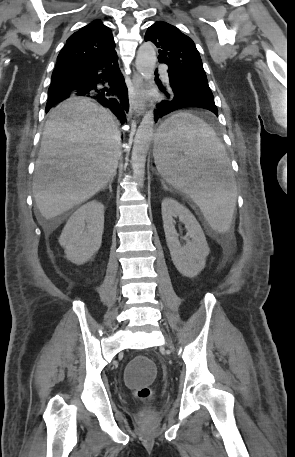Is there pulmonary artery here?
Returning <instances> with one entry per match:
<instances>
[{
  "label": "pulmonary artery",
  "instance_id": "e3ab8cb5",
  "mask_svg": "<svg viewBox=\"0 0 295 457\" xmlns=\"http://www.w3.org/2000/svg\"><path fill=\"white\" fill-rule=\"evenodd\" d=\"M160 69H161L163 78L164 79H168V74H167V71H166V67L165 66H161Z\"/></svg>",
  "mask_w": 295,
  "mask_h": 457
}]
</instances>
